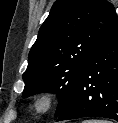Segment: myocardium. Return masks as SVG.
Returning a JSON list of instances; mask_svg holds the SVG:
<instances>
[{"label":"myocardium","instance_id":"1","mask_svg":"<svg viewBox=\"0 0 118 123\" xmlns=\"http://www.w3.org/2000/svg\"><path fill=\"white\" fill-rule=\"evenodd\" d=\"M56 102V93L53 90L45 89L33 97L31 101V109L36 115L45 116L53 111Z\"/></svg>","mask_w":118,"mask_h":123}]
</instances>
